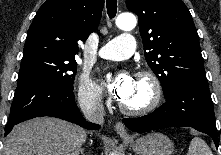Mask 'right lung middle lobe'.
<instances>
[{"label":"right lung middle lobe","mask_w":221,"mask_h":155,"mask_svg":"<svg viewBox=\"0 0 221 155\" xmlns=\"http://www.w3.org/2000/svg\"><path fill=\"white\" fill-rule=\"evenodd\" d=\"M77 63L74 58L59 57L49 53L23 56L17 86L30 78H40L64 89L73 90Z\"/></svg>","instance_id":"1"}]
</instances>
